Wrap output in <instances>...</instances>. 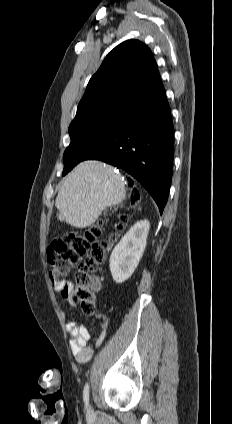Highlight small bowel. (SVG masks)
Masks as SVG:
<instances>
[{
    "instance_id": "1",
    "label": "small bowel",
    "mask_w": 232,
    "mask_h": 424,
    "mask_svg": "<svg viewBox=\"0 0 232 424\" xmlns=\"http://www.w3.org/2000/svg\"><path fill=\"white\" fill-rule=\"evenodd\" d=\"M100 288L101 282L96 279V291H99ZM55 289L60 292L63 297H68L71 292L72 285L70 283L56 284ZM61 312L63 315L66 314L64 309H61ZM107 326L108 321L105 320L102 323L100 333L92 346L89 344L90 333L87 327L78 324L75 320L66 321V328L71 335L70 348L78 362L85 363L91 358L93 347L99 346L103 342Z\"/></svg>"
}]
</instances>
